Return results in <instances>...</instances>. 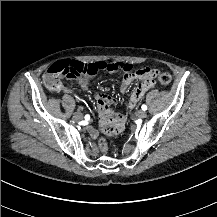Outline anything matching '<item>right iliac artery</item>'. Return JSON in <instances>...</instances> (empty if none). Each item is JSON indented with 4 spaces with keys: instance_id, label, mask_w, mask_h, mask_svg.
Segmentation results:
<instances>
[{
    "instance_id": "right-iliac-artery-1",
    "label": "right iliac artery",
    "mask_w": 217,
    "mask_h": 217,
    "mask_svg": "<svg viewBox=\"0 0 217 217\" xmlns=\"http://www.w3.org/2000/svg\"><path fill=\"white\" fill-rule=\"evenodd\" d=\"M92 119V116L90 115V114H87L86 116H85V120L86 121H90Z\"/></svg>"
}]
</instances>
